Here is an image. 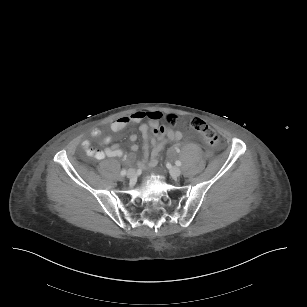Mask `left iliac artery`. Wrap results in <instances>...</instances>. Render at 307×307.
<instances>
[{
    "mask_svg": "<svg viewBox=\"0 0 307 307\" xmlns=\"http://www.w3.org/2000/svg\"><path fill=\"white\" fill-rule=\"evenodd\" d=\"M175 164L177 165V166H181V161H179V160H177L176 162H175Z\"/></svg>",
    "mask_w": 307,
    "mask_h": 307,
    "instance_id": "left-iliac-artery-1",
    "label": "left iliac artery"
}]
</instances>
